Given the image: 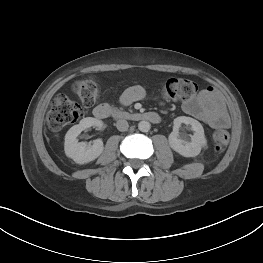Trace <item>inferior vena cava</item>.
<instances>
[{
	"mask_svg": "<svg viewBox=\"0 0 263 263\" xmlns=\"http://www.w3.org/2000/svg\"><path fill=\"white\" fill-rule=\"evenodd\" d=\"M116 127L119 131H127L129 124L125 119H120L117 121Z\"/></svg>",
	"mask_w": 263,
	"mask_h": 263,
	"instance_id": "602c4592",
	"label": "inferior vena cava"
}]
</instances>
